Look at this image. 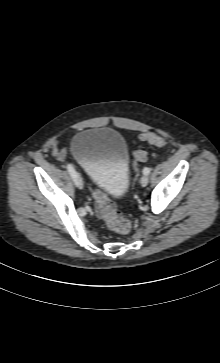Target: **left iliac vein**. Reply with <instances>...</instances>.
Masks as SVG:
<instances>
[{
	"mask_svg": "<svg viewBox=\"0 0 220 363\" xmlns=\"http://www.w3.org/2000/svg\"><path fill=\"white\" fill-rule=\"evenodd\" d=\"M148 182H149V178H148V176H147V175H143V176L141 177V180H140L141 185H142L143 187H145V186H147Z\"/></svg>",
	"mask_w": 220,
	"mask_h": 363,
	"instance_id": "4c4485c4",
	"label": "left iliac vein"
}]
</instances>
